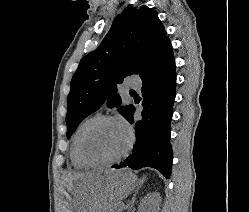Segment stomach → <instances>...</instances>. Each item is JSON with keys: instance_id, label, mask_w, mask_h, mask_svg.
<instances>
[{"instance_id": "obj_1", "label": "stomach", "mask_w": 249, "mask_h": 212, "mask_svg": "<svg viewBox=\"0 0 249 212\" xmlns=\"http://www.w3.org/2000/svg\"><path fill=\"white\" fill-rule=\"evenodd\" d=\"M130 175L126 170H92V175H83L70 190V206L74 212H96L97 204H116L124 193H132Z\"/></svg>"}]
</instances>
